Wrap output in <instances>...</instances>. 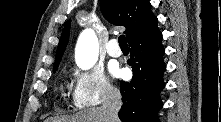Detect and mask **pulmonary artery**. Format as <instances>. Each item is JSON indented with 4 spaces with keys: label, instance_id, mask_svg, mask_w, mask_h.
I'll return each instance as SVG.
<instances>
[{
    "label": "pulmonary artery",
    "instance_id": "obj_1",
    "mask_svg": "<svg viewBox=\"0 0 221 122\" xmlns=\"http://www.w3.org/2000/svg\"><path fill=\"white\" fill-rule=\"evenodd\" d=\"M106 51L112 57H119L122 54V51L120 47L118 46L116 39H112L109 41L106 47Z\"/></svg>",
    "mask_w": 221,
    "mask_h": 122
}]
</instances>
